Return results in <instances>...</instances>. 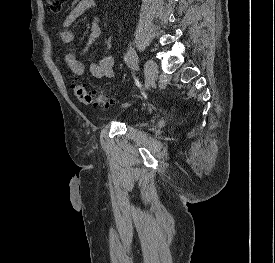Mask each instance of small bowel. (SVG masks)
<instances>
[{
    "instance_id": "obj_1",
    "label": "small bowel",
    "mask_w": 275,
    "mask_h": 263,
    "mask_svg": "<svg viewBox=\"0 0 275 263\" xmlns=\"http://www.w3.org/2000/svg\"><path fill=\"white\" fill-rule=\"evenodd\" d=\"M94 0H79L78 3L68 12L62 26L58 29L57 35L61 42L70 44L75 40V33L72 30L73 23L84 13L92 9ZM101 35V26L98 19L92 21L86 43L82 48L81 53L85 55L95 41ZM65 63L69 69L77 76H83L86 70V64L78 59L73 53L69 52L65 56ZM115 60L112 56H104L98 62L88 64L90 75L96 79L112 78L114 76Z\"/></svg>"
}]
</instances>
